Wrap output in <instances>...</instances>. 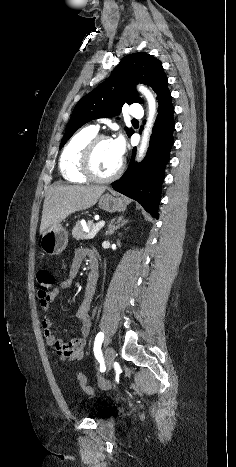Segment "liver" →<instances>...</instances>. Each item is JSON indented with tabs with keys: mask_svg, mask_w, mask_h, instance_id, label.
Wrapping results in <instances>:
<instances>
[{
	"mask_svg": "<svg viewBox=\"0 0 236 467\" xmlns=\"http://www.w3.org/2000/svg\"><path fill=\"white\" fill-rule=\"evenodd\" d=\"M105 190V186L53 185L44 200L40 234L43 236L70 214L93 206Z\"/></svg>",
	"mask_w": 236,
	"mask_h": 467,
	"instance_id": "6515ba94",
	"label": "liver"
}]
</instances>
